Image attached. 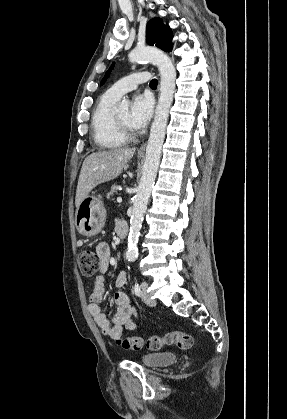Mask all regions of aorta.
<instances>
[{
  "label": "aorta",
  "instance_id": "aorta-1",
  "mask_svg": "<svg viewBox=\"0 0 287 419\" xmlns=\"http://www.w3.org/2000/svg\"><path fill=\"white\" fill-rule=\"evenodd\" d=\"M133 63L149 61L154 63L160 72V96L151 125L150 136L146 147L145 161L137 194L133 200L130 219L128 248L126 258L133 262L138 257V239L142 227L143 216L155 183L161 157L169 110L175 92L176 70L171 59L161 50L153 47H137L129 55Z\"/></svg>",
  "mask_w": 287,
  "mask_h": 419
}]
</instances>
